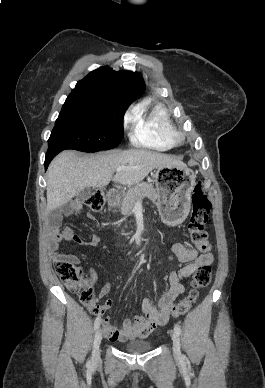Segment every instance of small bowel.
Segmentation results:
<instances>
[{
	"mask_svg": "<svg viewBox=\"0 0 265 388\" xmlns=\"http://www.w3.org/2000/svg\"><path fill=\"white\" fill-rule=\"evenodd\" d=\"M83 213V205L79 201L73 202L65 208L61 213L54 214L50 219V227L53 233L51 244L52 257L55 261L67 260L75 265H79L81 260L79 257L64 254L58 251L59 244L62 240H72L79 244H86L93 247L102 246L107 250L104 240L99 236H92L89 240H83L75 235L69 228L60 233V223L62 216L80 215ZM90 220H95L91 213L86 214ZM173 253L177 260L185 265L170 273L168 281L169 287L162 294L158 301V305L154 306L152 302L144 298L141 302L142 315L136 316L134 319H126L120 328L112 324L110 317H106L102 321L104 335L111 341H125L129 338L146 337L157 328L164 326L170 317L171 310L175 305V300L184 291L182 280L191 276L198 267L202 265H210L213 262L211 253H199L196 249L186 247L184 244L176 243L172 247ZM89 277L84 281L87 286H94L98 279V274L93 267H89ZM111 291V284L106 283L102 286L99 292V298H105ZM112 307V300H107L103 305H97L92 302L89 309L93 314L103 315ZM98 316V317H99Z\"/></svg>",
	"mask_w": 265,
	"mask_h": 388,
	"instance_id": "small-bowel-1",
	"label": "small bowel"
}]
</instances>
